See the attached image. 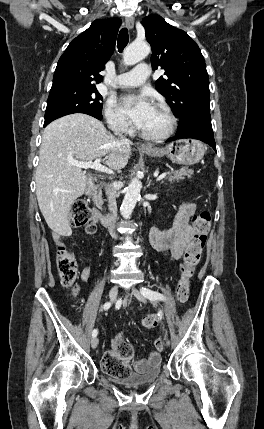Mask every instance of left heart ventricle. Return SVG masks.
Here are the masks:
<instances>
[{"mask_svg":"<svg viewBox=\"0 0 264 429\" xmlns=\"http://www.w3.org/2000/svg\"><path fill=\"white\" fill-rule=\"evenodd\" d=\"M168 119L162 111L153 107L150 115L140 127V130L149 135H157L166 130Z\"/></svg>","mask_w":264,"mask_h":429,"instance_id":"left-heart-ventricle-1","label":"left heart ventricle"}]
</instances>
